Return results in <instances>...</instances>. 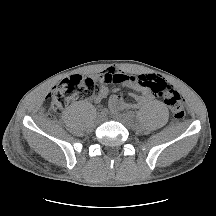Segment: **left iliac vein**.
Instances as JSON below:
<instances>
[{"label":"left iliac vein","instance_id":"left-iliac-vein-1","mask_svg":"<svg viewBox=\"0 0 216 216\" xmlns=\"http://www.w3.org/2000/svg\"><path fill=\"white\" fill-rule=\"evenodd\" d=\"M115 119L124 124L127 128H131L134 125L133 118L128 114H118L115 116Z\"/></svg>","mask_w":216,"mask_h":216}]
</instances>
